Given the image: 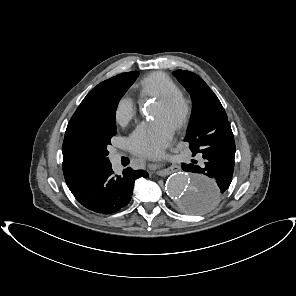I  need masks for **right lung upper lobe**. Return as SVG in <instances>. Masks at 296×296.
<instances>
[{
    "mask_svg": "<svg viewBox=\"0 0 296 296\" xmlns=\"http://www.w3.org/2000/svg\"><path fill=\"white\" fill-rule=\"evenodd\" d=\"M123 74H119L112 77L99 85H97L81 102L76 112L70 119L63 142V173L65 181L70 190L74 189L82 181L87 179L91 174L99 169L107 166L109 163L104 162H92L84 163L75 158L72 153V147L75 141L84 133L86 128V110L87 108L102 95L107 87L114 81L122 77Z\"/></svg>",
    "mask_w": 296,
    "mask_h": 296,
    "instance_id": "1",
    "label": "right lung upper lobe"
}]
</instances>
